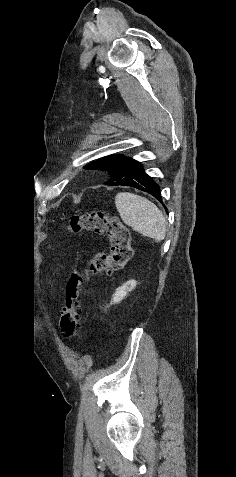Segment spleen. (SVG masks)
<instances>
[{
    "label": "spleen",
    "mask_w": 236,
    "mask_h": 477,
    "mask_svg": "<svg viewBox=\"0 0 236 477\" xmlns=\"http://www.w3.org/2000/svg\"><path fill=\"white\" fill-rule=\"evenodd\" d=\"M115 206L125 224L143 236L162 241L166 235V220L158 207L139 195L120 192L115 197Z\"/></svg>",
    "instance_id": "1"
}]
</instances>
